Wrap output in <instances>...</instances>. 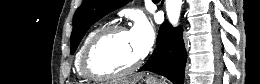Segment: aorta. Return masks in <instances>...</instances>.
Returning a JSON list of instances; mask_svg holds the SVG:
<instances>
[{"label":"aorta","mask_w":260,"mask_h":84,"mask_svg":"<svg viewBox=\"0 0 260 84\" xmlns=\"http://www.w3.org/2000/svg\"><path fill=\"white\" fill-rule=\"evenodd\" d=\"M166 12L170 23L177 26L181 13L182 0H166Z\"/></svg>","instance_id":"aorta-1"}]
</instances>
